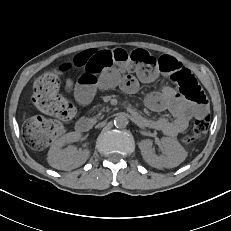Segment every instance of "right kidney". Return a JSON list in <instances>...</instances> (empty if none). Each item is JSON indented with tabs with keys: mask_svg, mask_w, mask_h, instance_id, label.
<instances>
[{
	"mask_svg": "<svg viewBox=\"0 0 231 231\" xmlns=\"http://www.w3.org/2000/svg\"><path fill=\"white\" fill-rule=\"evenodd\" d=\"M78 132H70L56 140L48 152V163L59 170H72L86 162L89 158V150H77L75 147L62 149L67 143H73L80 139Z\"/></svg>",
	"mask_w": 231,
	"mask_h": 231,
	"instance_id": "ca27d5eb",
	"label": "right kidney"
}]
</instances>
